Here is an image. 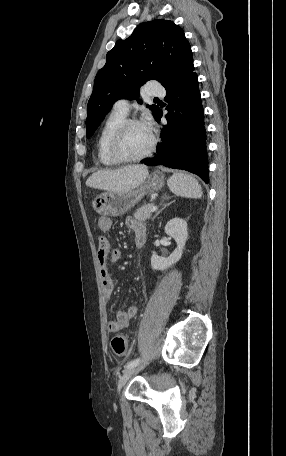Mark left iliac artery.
I'll return each instance as SVG.
<instances>
[{
	"label": "left iliac artery",
	"mask_w": 286,
	"mask_h": 456,
	"mask_svg": "<svg viewBox=\"0 0 286 456\" xmlns=\"http://www.w3.org/2000/svg\"><path fill=\"white\" fill-rule=\"evenodd\" d=\"M139 362H140V358H137V359H135V360H132V361H130L129 363H127V365L125 366V368H130V367L137 366Z\"/></svg>",
	"instance_id": "left-iliac-artery-1"
}]
</instances>
